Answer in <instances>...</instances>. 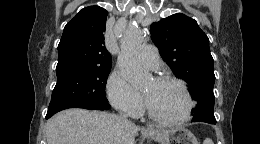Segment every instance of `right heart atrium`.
<instances>
[{"instance_id":"obj_1","label":"right heart atrium","mask_w":260,"mask_h":144,"mask_svg":"<svg viewBox=\"0 0 260 144\" xmlns=\"http://www.w3.org/2000/svg\"><path fill=\"white\" fill-rule=\"evenodd\" d=\"M106 94L113 107L126 114L138 115L142 109V97L119 71L109 75Z\"/></svg>"}]
</instances>
